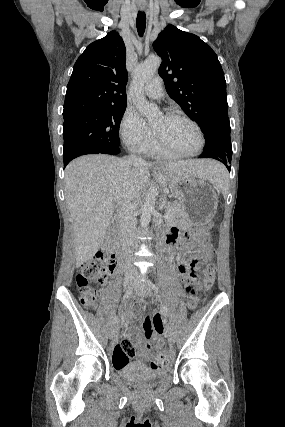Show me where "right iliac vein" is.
<instances>
[{"label":"right iliac vein","instance_id":"obj_1","mask_svg":"<svg viewBox=\"0 0 285 427\" xmlns=\"http://www.w3.org/2000/svg\"><path fill=\"white\" fill-rule=\"evenodd\" d=\"M124 285H125L126 289H131L132 286H133L132 280H126L125 283H124ZM117 335H118V329H117V327H112L109 330V338L111 340H115L117 338Z\"/></svg>","mask_w":285,"mask_h":427}]
</instances>
